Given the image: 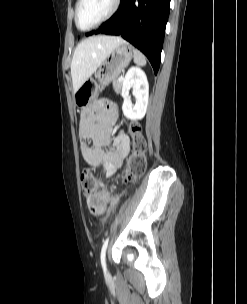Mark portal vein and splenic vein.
<instances>
[{
	"label": "portal vein and splenic vein",
	"instance_id": "portal-vein-and-splenic-vein-1",
	"mask_svg": "<svg viewBox=\"0 0 247 304\" xmlns=\"http://www.w3.org/2000/svg\"><path fill=\"white\" fill-rule=\"evenodd\" d=\"M122 80H123V77H122V76L118 78V81H122Z\"/></svg>",
	"mask_w": 247,
	"mask_h": 304
}]
</instances>
